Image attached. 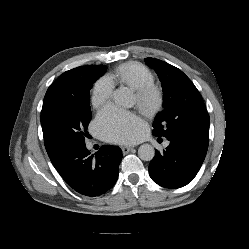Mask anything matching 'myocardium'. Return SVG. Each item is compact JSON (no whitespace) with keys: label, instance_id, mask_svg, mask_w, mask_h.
I'll return each instance as SVG.
<instances>
[{"label":"myocardium","instance_id":"obj_1","mask_svg":"<svg viewBox=\"0 0 249 249\" xmlns=\"http://www.w3.org/2000/svg\"><path fill=\"white\" fill-rule=\"evenodd\" d=\"M136 108L146 117L156 115L164 106L165 94L156 84L145 85L135 90Z\"/></svg>","mask_w":249,"mask_h":249}]
</instances>
